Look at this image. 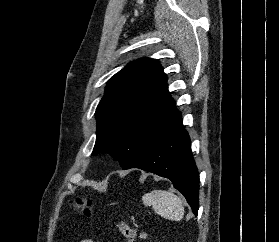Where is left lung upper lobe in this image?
Returning a JSON list of instances; mask_svg holds the SVG:
<instances>
[{
	"mask_svg": "<svg viewBox=\"0 0 279 242\" xmlns=\"http://www.w3.org/2000/svg\"><path fill=\"white\" fill-rule=\"evenodd\" d=\"M95 114L97 138L92 155L106 152L123 169L181 118L166 74L150 58L129 63L108 80Z\"/></svg>",
	"mask_w": 279,
	"mask_h": 242,
	"instance_id": "left-lung-upper-lobe-1",
	"label": "left lung upper lobe"
}]
</instances>
